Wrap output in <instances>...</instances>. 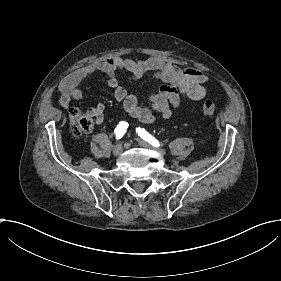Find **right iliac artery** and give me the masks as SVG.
<instances>
[{
    "label": "right iliac artery",
    "instance_id": "1",
    "mask_svg": "<svg viewBox=\"0 0 281 281\" xmlns=\"http://www.w3.org/2000/svg\"><path fill=\"white\" fill-rule=\"evenodd\" d=\"M129 124L125 121H121L119 125L115 128L114 132L116 135V139L122 138V136L126 133V129L128 128Z\"/></svg>",
    "mask_w": 281,
    "mask_h": 281
}]
</instances>
